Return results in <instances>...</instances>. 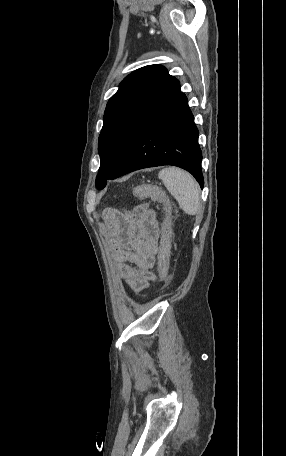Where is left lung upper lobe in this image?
<instances>
[{
  "instance_id": "left-lung-upper-lobe-1",
  "label": "left lung upper lobe",
  "mask_w": 286,
  "mask_h": 456,
  "mask_svg": "<svg viewBox=\"0 0 286 456\" xmlns=\"http://www.w3.org/2000/svg\"><path fill=\"white\" fill-rule=\"evenodd\" d=\"M179 92V81L161 65L142 67L120 83L107 103L98 139V189L112 179L139 133Z\"/></svg>"
}]
</instances>
